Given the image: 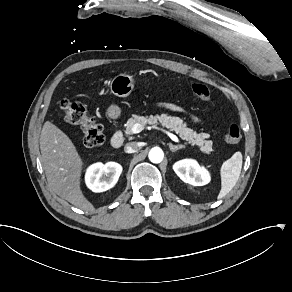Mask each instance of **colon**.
Returning a JSON list of instances; mask_svg holds the SVG:
<instances>
[{
  "mask_svg": "<svg viewBox=\"0 0 292 292\" xmlns=\"http://www.w3.org/2000/svg\"><path fill=\"white\" fill-rule=\"evenodd\" d=\"M193 94L199 99L208 101L211 99L209 88L203 84L196 83L192 87ZM58 114L66 122L77 125L83 130V143L88 147H95L104 142L105 135L103 127L91 116L86 106L80 101L63 99L59 104ZM227 141L236 143L241 138L239 126L231 125L226 134Z\"/></svg>",
  "mask_w": 292,
  "mask_h": 292,
  "instance_id": "obj_1",
  "label": "colon"
}]
</instances>
